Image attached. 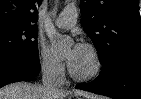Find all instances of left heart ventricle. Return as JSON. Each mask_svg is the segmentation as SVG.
<instances>
[{
  "label": "left heart ventricle",
  "instance_id": "left-heart-ventricle-1",
  "mask_svg": "<svg viewBox=\"0 0 141 99\" xmlns=\"http://www.w3.org/2000/svg\"><path fill=\"white\" fill-rule=\"evenodd\" d=\"M78 74H86L93 68V61L86 49L83 48L76 63L71 67Z\"/></svg>",
  "mask_w": 141,
  "mask_h": 99
}]
</instances>
